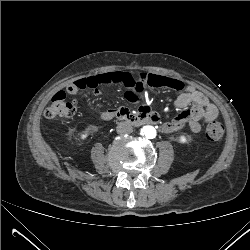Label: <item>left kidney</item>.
<instances>
[{
    "label": "left kidney",
    "instance_id": "1",
    "mask_svg": "<svg viewBox=\"0 0 250 250\" xmlns=\"http://www.w3.org/2000/svg\"><path fill=\"white\" fill-rule=\"evenodd\" d=\"M179 142L182 143V144H186L189 142V140L187 139L186 135L185 134H181L179 136Z\"/></svg>",
    "mask_w": 250,
    "mask_h": 250
}]
</instances>
